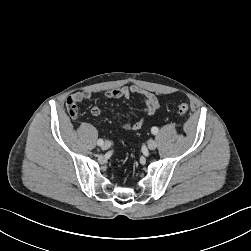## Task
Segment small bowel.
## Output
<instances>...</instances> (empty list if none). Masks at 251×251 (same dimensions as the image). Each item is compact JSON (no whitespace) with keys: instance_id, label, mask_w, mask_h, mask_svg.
Instances as JSON below:
<instances>
[{"instance_id":"c3829d8e","label":"small bowel","mask_w":251,"mask_h":251,"mask_svg":"<svg viewBox=\"0 0 251 251\" xmlns=\"http://www.w3.org/2000/svg\"><path fill=\"white\" fill-rule=\"evenodd\" d=\"M132 95H138L143 99L145 104L143 109L144 115L136 122L119 121L118 124L124 131H137L141 129L145 124L146 119L152 116L160 107L158 99L153 93L135 85L112 89L107 91L104 96L108 99H122L129 98ZM91 96L92 94L89 91H83L72 94L67 98L66 105L68 111L75 112L73 117H76L77 115L78 103L84 99H89ZM90 112L93 116L97 117L101 114V109L98 105H93Z\"/></svg>"}]
</instances>
